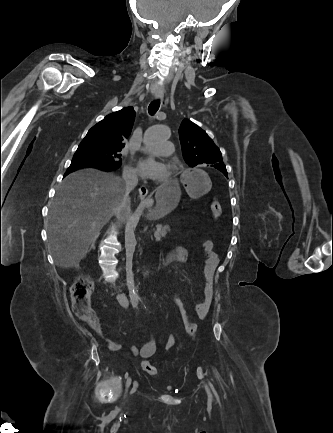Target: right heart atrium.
<instances>
[{
    "instance_id": "obj_1",
    "label": "right heart atrium",
    "mask_w": 333,
    "mask_h": 433,
    "mask_svg": "<svg viewBox=\"0 0 333 433\" xmlns=\"http://www.w3.org/2000/svg\"><path fill=\"white\" fill-rule=\"evenodd\" d=\"M124 172H125V175H126L128 178H135V177H136V170H135V168H134L131 164H128V165L125 167Z\"/></svg>"
}]
</instances>
